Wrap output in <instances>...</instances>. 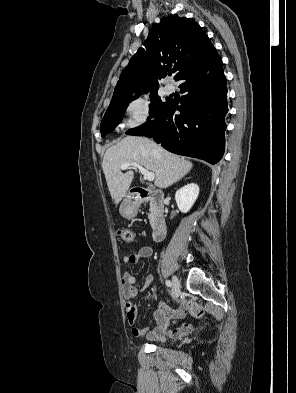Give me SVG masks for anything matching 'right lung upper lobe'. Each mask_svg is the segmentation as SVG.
I'll return each mask as SVG.
<instances>
[{"instance_id":"obj_1","label":"right lung upper lobe","mask_w":296,"mask_h":393,"mask_svg":"<svg viewBox=\"0 0 296 393\" xmlns=\"http://www.w3.org/2000/svg\"><path fill=\"white\" fill-rule=\"evenodd\" d=\"M143 45L121 73L111 101L132 97L141 88L158 89L171 67L177 80L212 43L196 22L174 15L155 24Z\"/></svg>"}]
</instances>
